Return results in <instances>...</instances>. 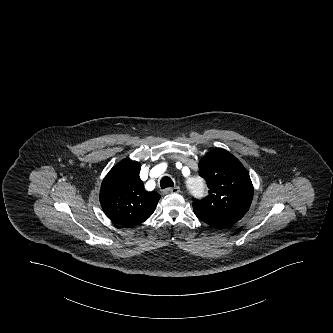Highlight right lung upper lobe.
I'll list each match as a JSON object with an SVG mask.
<instances>
[{
    "label": "right lung upper lobe",
    "instance_id": "1",
    "mask_svg": "<svg viewBox=\"0 0 333 333\" xmlns=\"http://www.w3.org/2000/svg\"><path fill=\"white\" fill-rule=\"evenodd\" d=\"M140 167L137 161L123 160L110 170L102 182L101 206L117 224L131 227L146 221L161 197L144 189L139 177Z\"/></svg>",
    "mask_w": 333,
    "mask_h": 333
}]
</instances>
